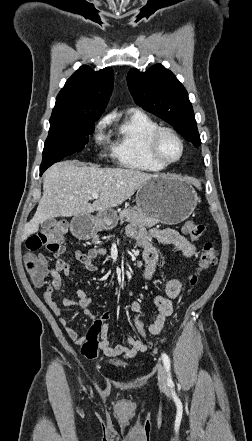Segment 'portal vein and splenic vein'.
<instances>
[{
    "mask_svg": "<svg viewBox=\"0 0 252 441\" xmlns=\"http://www.w3.org/2000/svg\"><path fill=\"white\" fill-rule=\"evenodd\" d=\"M98 197H99V194H98V193H93V194H92V198H93V199H97Z\"/></svg>",
    "mask_w": 252,
    "mask_h": 441,
    "instance_id": "portal-vein-and-splenic-vein-1",
    "label": "portal vein and splenic vein"
}]
</instances>
